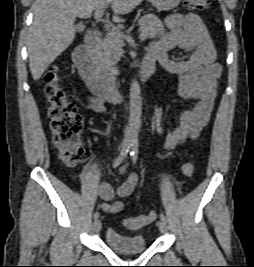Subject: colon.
Instances as JSON below:
<instances>
[{
  "label": "colon",
  "instance_id": "1",
  "mask_svg": "<svg viewBox=\"0 0 254 267\" xmlns=\"http://www.w3.org/2000/svg\"><path fill=\"white\" fill-rule=\"evenodd\" d=\"M210 1L184 0V5L188 10H204L209 7ZM44 79L54 146L63 163L68 166H76L83 163L89 155L81 139L83 118L78 113L76 106L67 98L61 85L59 68L57 66L49 67ZM182 172L186 176H191L194 173V165L191 162H185L182 165ZM155 218L156 213L151 211L147 214L126 218L123 223L130 229H140Z\"/></svg>",
  "mask_w": 254,
  "mask_h": 267
}]
</instances>
